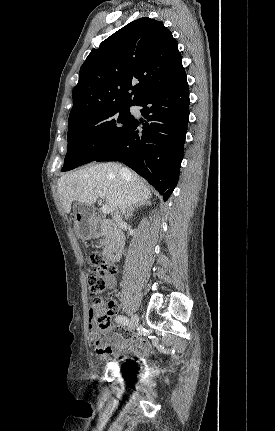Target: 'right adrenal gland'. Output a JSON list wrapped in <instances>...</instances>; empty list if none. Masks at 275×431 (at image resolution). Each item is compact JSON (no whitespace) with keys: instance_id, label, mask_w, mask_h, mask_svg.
I'll return each mask as SVG.
<instances>
[{"instance_id":"2a0ac1e0","label":"right adrenal gland","mask_w":275,"mask_h":431,"mask_svg":"<svg viewBox=\"0 0 275 431\" xmlns=\"http://www.w3.org/2000/svg\"><path fill=\"white\" fill-rule=\"evenodd\" d=\"M144 205H150V202H149V201H143V202H141V203H139V204H135L134 206H131V207L128 209L127 213H126L125 218L127 219V218H129L130 216H132V214H133V212H134V210H135V207H138V206H144Z\"/></svg>"}]
</instances>
